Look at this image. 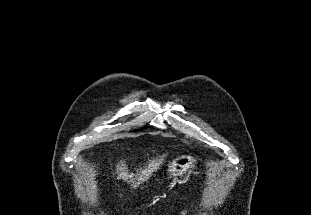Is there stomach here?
<instances>
[{
  "mask_svg": "<svg viewBox=\"0 0 311 215\" xmlns=\"http://www.w3.org/2000/svg\"><path fill=\"white\" fill-rule=\"evenodd\" d=\"M197 160L190 155H179L172 162L168 163L167 173L170 178L173 177V180L176 182H183L189 179L191 173H194L195 164ZM188 175L183 177V174ZM180 177V179L178 178ZM183 178V180H181Z\"/></svg>",
  "mask_w": 311,
  "mask_h": 215,
  "instance_id": "1",
  "label": "stomach"
}]
</instances>
